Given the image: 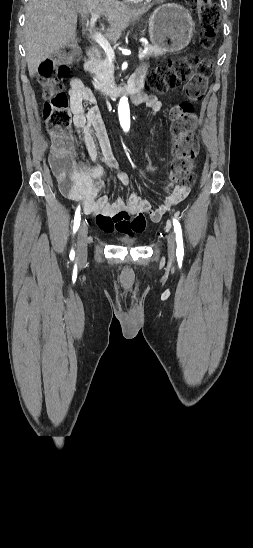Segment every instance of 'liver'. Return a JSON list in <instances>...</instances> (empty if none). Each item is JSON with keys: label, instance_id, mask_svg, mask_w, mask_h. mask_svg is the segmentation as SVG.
I'll list each match as a JSON object with an SVG mask.
<instances>
[{"label": "liver", "instance_id": "liver-1", "mask_svg": "<svg viewBox=\"0 0 253 548\" xmlns=\"http://www.w3.org/2000/svg\"><path fill=\"white\" fill-rule=\"evenodd\" d=\"M148 10L149 7L130 8L118 0H30L24 26L30 77L52 54L75 43L78 13L104 15L110 25L106 37L117 41L129 23Z\"/></svg>", "mask_w": 253, "mask_h": 548}]
</instances>
